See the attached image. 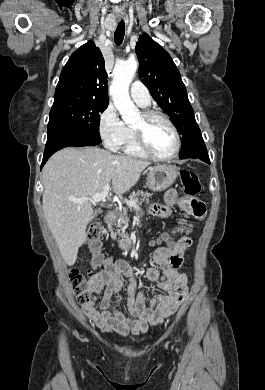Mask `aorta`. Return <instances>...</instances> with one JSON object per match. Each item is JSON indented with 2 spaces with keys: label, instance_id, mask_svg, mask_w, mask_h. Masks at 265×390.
<instances>
[{
  "label": "aorta",
  "instance_id": "aorta-1",
  "mask_svg": "<svg viewBox=\"0 0 265 390\" xmlns=\"http://www.w3.org/2000/svg\"><path fill=\"white\" fill-rule=\"evenodd\" d=\"M138 68L134 59L116 63L113 70V81L110 86V95L115 107L126 124L135 123L139 117V110L131 101L129 86Z\"/></svg>",
  "mask_w": 265,
  "mask_h": 390
}]
</instances>
